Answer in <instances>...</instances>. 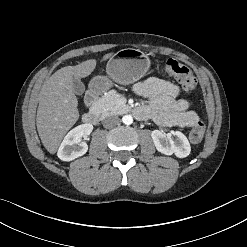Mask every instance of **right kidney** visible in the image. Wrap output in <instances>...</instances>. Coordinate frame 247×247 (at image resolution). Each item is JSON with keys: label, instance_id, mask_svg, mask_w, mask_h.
<instances>
[{"label": "right kidney", "instance_id": "1", "mask_svg": "<svg viewBox=\"0 0 247 247\" xmlns=\"http://www.w3.org/2000/svg\"><path fill=\"white\" fill-rule=\"evenodd\" d=\"M93 130L90 123L82 124L72 129L62 141L57 156L63 161H72L88 150L85 140H89V135Z\"/></svg>", "mask_w": 247, "mask_h": 247}]
</instances>
